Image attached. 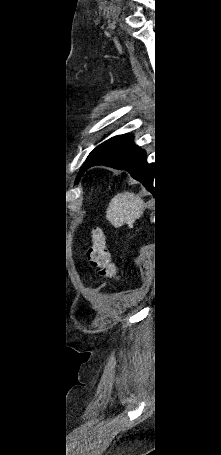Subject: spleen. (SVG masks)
Here are the masks:
<instances>
[{
    "instance_id": "spleen-1",
    "label": "spleen",
    "mask_w": 221,
    "mask_h": 455,
    "mask_svg": "<svg viewBox=\"0 0 221 455\" xmlns=\"http://www.w3.org/2000/svg\"><path fill=\"white\" fill-rule=\"evenodd\" d=\"M144 202L134 193L123 192L115 195L107 208L106 218L118 228L133 223L144 211Z\"/></svg>"
}]
</instances>
